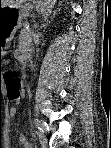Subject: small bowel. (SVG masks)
Here are the masks:
<instances>
[{
  "mask_svg": "<svg viewBox=\"0 0 111 148\" xmlns=\"http://www.w3.org/2000/svg\"><path fill=\"white\" fill-rule=\"evenodd\" d=\"M9 113H10V116L13 117V116H15L16 111H15L14 108H11L10 111H9ZM19 142H20V144H21V147H23V148H31V147H32V146L30 145V143L26 140V138H25L24 136H20V137H19ZM5 147L8 148L9 145L6 144Z\"/></svg>",
  "mask_w": 111,
  "mask_h": 148,
  "instance_id": "1",
  "label": "small bowel"
}]
</instances>
